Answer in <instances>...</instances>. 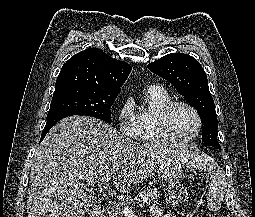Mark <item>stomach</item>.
Listing matches in <instances>:
<instances>
[{
  "instance_id": "1",
  "label": "stomach",
  "mask_w": 255,
  "mask_h": 217,
  "mask_svg": "<svg viewBox=\"0 0 255 217\" xmlns=\"http://www.w3.org/2000/svg\"><path fill=\"white\" fill-rule=\"evenodd\" d=\"M185 158L180 154H171L159 165L158 177L163 181H173L180 177Z\"/></svg>"
}]
</instances>
